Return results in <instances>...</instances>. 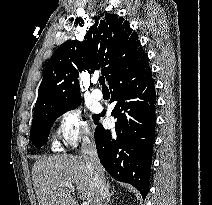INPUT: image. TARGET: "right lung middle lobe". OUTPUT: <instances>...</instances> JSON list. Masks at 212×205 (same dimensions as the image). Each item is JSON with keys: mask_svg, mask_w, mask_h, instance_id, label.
<instances>
[{"mask_svg": "<svg viewBox=\"0 0 212 205\" xmlns=\"http://www.w3.org/2000/svg\"><path fill=\"white\" fill-rule=\"evenodd\" d=\"M79 100L69 105H45L34 110L30 139L34 146L40 149L47 144L50 128L55 119L68 110L75 109L80 105ZM95 119V117L93 116Z\"/></svg>", "mask_w": 212, "mask_h": 205, "instance_id": "1", "label": "right lung middle lobe"}]
</instances>
